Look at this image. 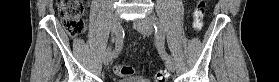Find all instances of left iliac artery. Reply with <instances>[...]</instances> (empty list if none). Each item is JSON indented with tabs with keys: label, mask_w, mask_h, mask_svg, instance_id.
Returning <instances> with one entry per match:
<instances>
[{
	"label": "left iliac artery",
	"mask_w": 279,
	"mask_h": 82,
	"mask_svg": "<svg viewBox=\"0 0 279 82\" xmlns=\"http://www.w3.org/2000/svg\"><path fill=\"white\" fill-rule=\"evenodd\" d=\"M148 21L154 26L156 39L158 42L159 53L165 60H172V57L165 51L164 43H165V34L163 27L156 16L148 17Z\"/></svg>",
	"instance_id": "left-iliac-artery-1"
}]
</instances>
